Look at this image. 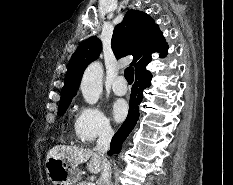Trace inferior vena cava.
Masks as SVG:
<instances>
[{
	"label": "inferior vena cava",
	"instance_id": "602c4592",
	"mask_svg": "<svg viewBox=\"0 0 233 185\" xmlns=\"http://www.w3.org/2000/svg\"><path fill=\"white\" fill-rule=\"evenodd\" d=\"M113 135H114V131L112 130L111 126L109 124H105L102 127V130L99 134V138L97 140V144L94 150L104 155L110 147V142ZM111 174H112L111 165L106 160V163L104 164V167L101 171V176L98 185H111Z\"/></svg>",
	"mask_w": 233,
	"mask_h": 185
}]
</instances>
